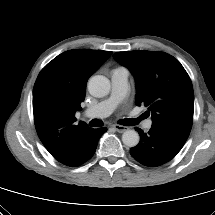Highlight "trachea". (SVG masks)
<instances>
[{"instance_id": "trachea-1", "label": "trachea", "mask_w": 215, "mask_h": 215, "mask_svg": "<svg viewBox=\"0 0 215 215\" xmlns=\"http://www.w3.org/2000/svg\"><path fill=\"white\" fill-rule=\"evenodd\" d=\"M144 118V116H140L138 119H123L121 121H119V124L121 125H125V126H134L137 125L139 123L140 120H142ZM89 125L91 127H101L103 125L102 121H100L99 119H93L90 121Z\"/></svg>"}]
</instances>
